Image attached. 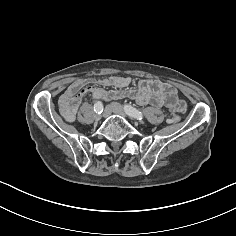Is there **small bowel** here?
<instances>
[{"label":"small bowel","mask_w":236,"mask_h":236,"mask_svg":"<svg viewBox=\"0 0 236 236\" xmlns=\"http://www.w3.org/2000/svg\"><path fill=\"white\" fill-rule=\"evenodd\" d=\"M131 82V78L125 76L75 80L60 96V111L66 121H73L83 96L89 93L96 99L114 100L128 97L140 105L150 104L157 108L166 107L173 112H185V102L178 99L177 91L170 84L156 79H143L136 87L130 88ZM96 83L99 86H95ZM104 87H111L112 90H106Z\"/></svg>","instance_id":"c3829d8e"}]
</instances>
